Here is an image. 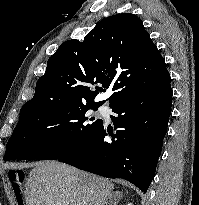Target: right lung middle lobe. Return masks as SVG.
<instances>
[{"instance_id":"1","label":"right lung middle lobe","mask_w":199,"mask_h":205,"mask_svg":"<svg viewBox=\"0 0 199 205\" xmlns=\"http://www.w3.org/2000/svg\"><path fill=\"white\" fill-rule=\"evenodd\" d=\"M98 107L66 102L23 106L3 160H55L77 152L103 125L87 114Z\"/></svg>"}]
</instances>
